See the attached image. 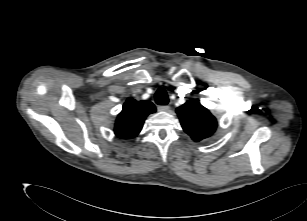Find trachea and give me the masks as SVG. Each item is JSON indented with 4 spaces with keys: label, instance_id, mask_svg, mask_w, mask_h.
<instances>
[{
    "label": "trachea",
    "instance_id": "1",
    "mask_svg": "<svg viewBox=\"0 0 307 221\" xmlns=\"http://www.w3.org/2000/svg\"><path fill=\"white\" fill-rule=\"evenodd\" d=\"M155 102L158 105H167L169 98L164 88H159L155 93Z\"/></svg>",
    "mask_w": 307,
    "mask_h": 221
}]
</instances>
